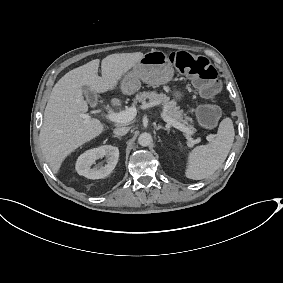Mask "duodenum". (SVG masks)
<instances>
[{
    "label": "duodenum",
    "mask_w": 283,
    "mask_h": 283,
    "mask_svg": "<svg viewBox=\"0 0 283 283\" xmlns=\"http://www.w3.org/2000/svg\"><path fill=\"white\" fill-rule=\"evenodd\" d=\"M111 104H112V106L115 108V107H116V104H117V100H116V99H113V100L111 101Z\"/></svg>",
    "instance_id": "1"
}]
</instances>
